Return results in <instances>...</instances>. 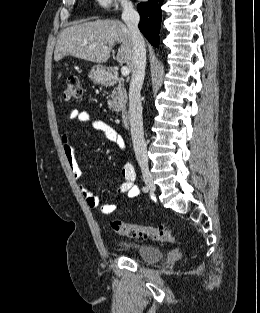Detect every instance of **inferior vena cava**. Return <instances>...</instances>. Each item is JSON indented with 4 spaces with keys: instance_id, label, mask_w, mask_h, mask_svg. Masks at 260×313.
I'll list each match as a JSON object with an SVG mask.
<instances>
[{
    "instance_id": "obj_1",
    "label": "inferior vena cava",
    "mask_w": 260,
    "mask_h": 313,
    "mask_svg": "<svg viewBox=\"0 0 260 313\" xmlns=\"http://www.w3.org/2000/svg\"><path fill=\"white\" fill-rule=\"evenodd\" d=\"M122 20L129 28L132 35L134 50V67L129 87V114L131 136L136 160L141 167H148L147 148L143 133L142 106L140 91L144 81L146 67V49L142 34L138 29L139 13L132 3H122Z\"/></svg>"
}]
</instances>
